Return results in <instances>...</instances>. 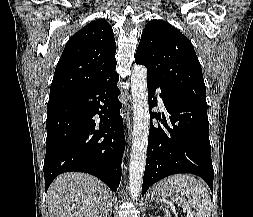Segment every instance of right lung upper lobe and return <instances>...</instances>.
Segmentation results:
<instances>
[{"label":"right lung upper lobe","mask_w":253,"mask_h":217,"mask_svg":"<svg viewBox=\"0 0 253 217\" xmlns=\"http://www.w3.org/2000/svg\"><path fill=\"white\" fill-rule=\"evenodd\" d=\"M116 43L112 27L96 20L67 42L50 88L49 100L81 92L115 72Z\"/></svg>","instance_id":"cb5924a9"}]
</instances>
